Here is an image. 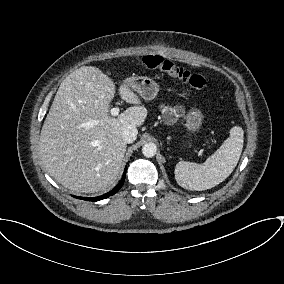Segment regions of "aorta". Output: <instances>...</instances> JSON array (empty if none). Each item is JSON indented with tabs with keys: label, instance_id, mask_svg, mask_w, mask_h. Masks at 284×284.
Instances as JSON below:
<instances>
[{
	"label": "aorta",
	"instance_id": "aorta-1",
	"mask_svg": "<svg viewBox=\"0 0 284 284\" xmlns=\"http://www.w3.org/2000/svg\"><path fill=\"white\" fill-rule=\"evenodd\" d=\"M156 152H157V147L154 143H146L142 147V153L147 158L155 156Z\"/></svg>",
	"mask_w": 284,
	"mask_h": 284
}]
</instances>
